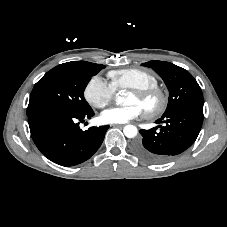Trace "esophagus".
<instances>
[{
  "label": "esophagus",
  "instance_id": "1",
  "mask_svg": "<svg viewBox=\"0 0 227 227\" xmlns=\"http://www.w3.org/2000/svg\"><path fill=\"white\" fill-rule=\"evenodd\" d=\"M113 126L114 127H123L124 125L123 124H114Z\"/></svg>",
  "mask_w": 227,
  "mask_h": 227
}]
</instances>
